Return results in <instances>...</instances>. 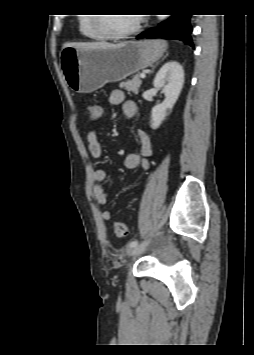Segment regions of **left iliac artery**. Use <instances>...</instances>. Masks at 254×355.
I'll list each match as a JSON object with an SVG mask.
<instances>
[{"label":"left iliac artery","instance_id":"left-iliac-artery-1","mask_svg":"<svg viewBox=\"0 0 254 355\" xmlns=\"http://www.w3.org/2000/svg\"><path fill=\"white\" fill-rule=\"evenodd\" d=\"M137 245H138V241H137V240L131 241V242L129 243V247H131V248H133V247H135V246H137Z\"/></svg>","mask_w":254,"mask_h":355}]
</instances>
